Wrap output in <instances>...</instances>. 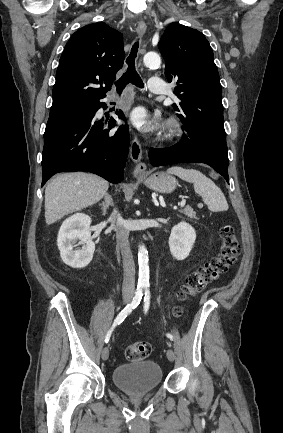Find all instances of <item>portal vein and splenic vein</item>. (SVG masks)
<instances>
[{"mask_svg": "<svg viewBox=\"0 0 283 433\" xmlns=\"http://www.w3.org/2000/svg\"><path fill=\"white\" fill-rule=\"evenodd\" d=\"M182 202H185V200H182ZM181 206H184V204H181Z\"/></svg>", "mask_w": 283, "mask_h": 433, "instance_id": "1", "label": "portal vein and splenic vein"}]
</instances>
